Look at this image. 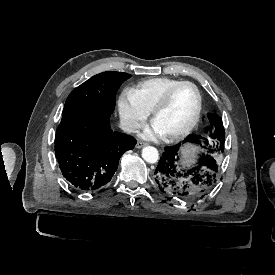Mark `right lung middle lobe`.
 Returning <instances> with one entry per match:
<instances>
[{
	"mask_svg": "<svg viewBox=\"0 0 275 275\" xmlns=\"http://www.w3.org/2000/svg\"><path fill=\"white\" fill-rule=\"evenodd\" d=\"M130 77L127 73L115 71L91 77L70 93L63 113H92L109 120L114 111L117 89Z\"/></svg>",
	"mask_w": 275,
	"mask_h": 275,
	"instance_id": "right-lung-middle-lobe-1",
	"label": "right lung middle lobe"
}]
</instances>
